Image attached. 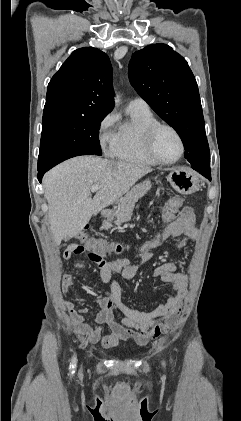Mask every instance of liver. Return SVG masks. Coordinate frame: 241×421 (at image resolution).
<instances>
[{
    "mask_svg": "<svg viewBox=\"0 0 241 421\" xmlns=\"http://www.w3.org/2000/svg\"><path fill=\"white\" fill-rule=\"evenodd\" d=\"M152 170L138 163L95 156L74 157L52 168L43 178V187L56 245L79 234L93 215L121 198ZM92 185L100 186L93 198Z\"/></svg>",
    "mask_w": 241,
    "mask_h": 421,
    "instance_id": "1",
    "label": "liver"
}]
</instances>
